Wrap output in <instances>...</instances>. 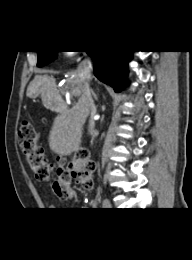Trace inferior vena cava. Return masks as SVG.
Returning a JSON list of instances; mask_svg holds the SVG:
<instances>
[{
	"label": "inferior vena cava",
	"mask_w": 192,
	"mask_h": 260,
	"mask_svg": "<svg viewBox=\"0 0 192 260\" xmlns=\"http://www.w3.org/2000/svg\"><path fill=\"white\" fill-rule=\"evenodd\" d=\"M91 70H92V62L89 58L83 60L78 65V68H77V72L80 75V78H81V81H82V84H83V87H84V94L87 98V102H88L90 111L94 112L95 111V105H94L93 99L91 97V90H90V87H89V82H90V79H91ZM89 132L92 136V141H93L94 138H95V131H94V124L92 122L89 123Z\"/></svg>",
	"instance_id": "obj_1"
}]
</instances>
